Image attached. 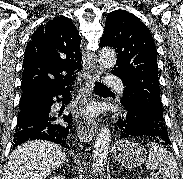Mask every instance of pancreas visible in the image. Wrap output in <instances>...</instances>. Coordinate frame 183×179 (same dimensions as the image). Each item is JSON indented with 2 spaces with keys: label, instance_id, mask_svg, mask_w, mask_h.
<instances>
[{
  "label": "pancreas",
  "instance_id": "1",
  "mask_svg": "<svg viewBox=\"0 0 183 179\" xmlns=\"http://www.w3.org/2000/svg\"><path fill=\"white\" fill-rule=\"evenodd\" d=\"M147 179H159L157 176L148 177Z\"/></svg>",
  "mask_w": 183,
  "mask_h": 179
}]
</instances>
